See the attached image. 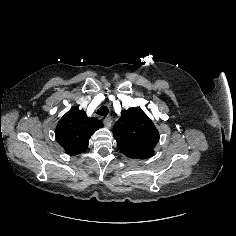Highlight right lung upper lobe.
<instances>
[{"mask_svg":"<svg viewBox=\"0 0 236 236\" xmlns=\"http://www.w3.org/2000/svg\"><path fill=\"white\" fill-rule=\"evenodd\" d=\"M102 127L99 120L89 118L83 110L72 107L59 120L55 136L65 152L74 156L87 149L90 136Z\"/></svg>","mask_w":236,"mask_h":236,"instance_id":"cb5924a9","label":"right lung upper lobe"}]
</instances>
